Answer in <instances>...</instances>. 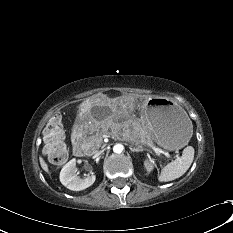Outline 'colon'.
<instances>
[{"instance_id":"1","label":"colon","mask_w":233,"mask_h":233,"mask_svg":"<svg viewBox=\"0 0 233 233\" xmlns=\"http://www.w3.org/2000/svg\"><path fill=\"white\" fill-rule=\"evenodd\" d=\"M44 152L54 165H61L67 160L68 151L63 139L61 117L58 114L54 115L47 123Z\"/></svg>"}]
</instances>
